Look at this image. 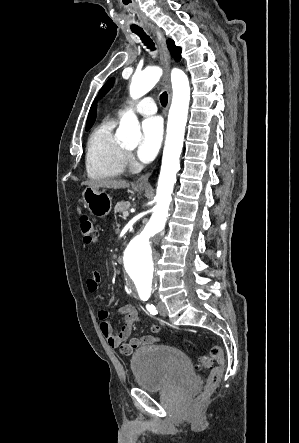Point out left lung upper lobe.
<instances>
[{
    "instance_id": "1",
    "label": "left lung upper lobe",
    "mask_w": 299,
    "mask_h": 443,
    "mask_svg": "<svg viewBox=\"0 0 299 443\" xmlns=\"http://www.w3.org/2000/svg\"><path fill=\"white\" fill-rule=\"evenodd\" d=\"M167 44H168V48L171 51L172 56L174 57V59L176 61H180V59H181V49L179 47H177L175 45L174 41L171 40V39H169L167 41ZM113 83H114V78H111L110 80H108L106 82V84L101 88V90L99 92L100 97L104 96V94L109 91V89L112 87Z\"/></svg>"
}]
</instances>
